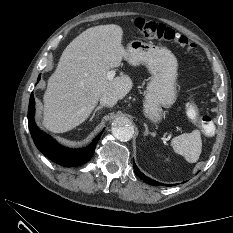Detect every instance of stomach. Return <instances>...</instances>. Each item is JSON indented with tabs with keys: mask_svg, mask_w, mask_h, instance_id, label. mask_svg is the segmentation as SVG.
Wrapping results in <instances>:
<instances>
[{
	"mask_svg": "<svg viewBox=\"0 0 233 233\" xmlns=\"http://www.w3.org/2000/svg\"><path fill=\"white\" fill-rule=\"evenodd\" d=\"M127 54L131 65L144 64L152 75L147 84L144 115L153 122H160L162 107L171 106L176 99L177 59L167 48L140 40L128 44Z\"/></svg>",
	"mask_w": 233,
	"mask_h": 233,
	"instance_id": "stomach-1",
	"label": "stomach"
}]
</instances>
